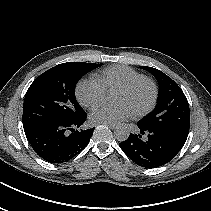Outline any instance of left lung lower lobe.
<instances>
[{
    "mask_svg": "<svg viewBox=\"0 0 211 211\" xmlns=\"http://www.w3.org/2000/svg\"><path fill=\"white\" fill-rule=\"evenodd\" d=\"M140 134H130L119 146L137 165L155 168L171 161L185 142L162 130L147 128L138 123ZM147 137L143 138L142 135Z\"/></svg>",
    "mask_w": 211,
    "mask_h": 211,
    "instance_id": "1",
    "label": "left lung lower lobe"
}]
</instances>
